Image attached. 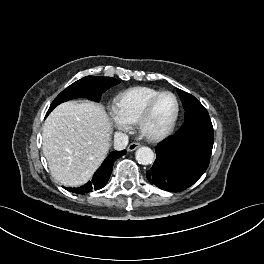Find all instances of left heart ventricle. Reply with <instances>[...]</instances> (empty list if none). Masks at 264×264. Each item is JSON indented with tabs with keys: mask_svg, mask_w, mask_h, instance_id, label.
Wrapping results in <instances>:
<instances>
[{
	"mask_svg": "<svg viewBox=\"0 0 264 264\" xmlns=\"http://www.w3.org/2000/svg\"><path fill=\"white\" fill-rule=\"evenodd\" d=\"M176 109L175 100L170 95L162 96L153 109V112L146 124V131L157 133L168 126Z\"/></svg>",
	"mask_w": 264,
	"mask_h": 264,
	"instance_id": "left-heart-ventricle-1",
	"label": "left heart ventricle"
}]
</instances>
